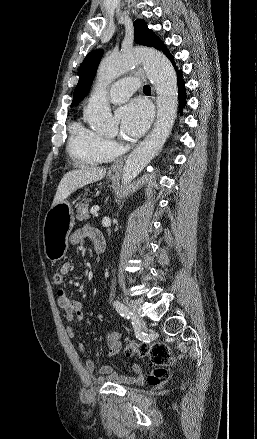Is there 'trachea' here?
<instances>
[{"instance_id": "trachea-1", "label": "trachea", "mask_w": 257, "mask_h": 439, "mask_svg": "<svg viewBox=\"0 0 257 439\" xmlns=\"http://www.w3.org/2000/svg\"><path fill=\"white\" fill-rule=\"evenodd\" d=\"M143 91H144L145 93L151 92V88H150V86H149V85H145V86L143 87Z\"/></svg>"}]
</instances>
